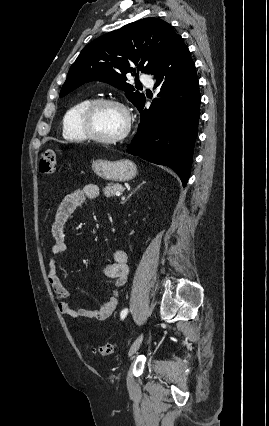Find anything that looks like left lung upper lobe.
<instances>
[{"label": "left lung upper lobe", "mask_w": 269, "mask_h": 426, "mask_svg": "<svg viewBox=\"0 0 269 426\" xmlns=\"http://www.w3.org/2000/svg\"><path fill=\"white\" fill-rule=\"evenodd\" d=\"M178 36L167 22L145 18L95 39L72 64L59 96L98 80L124 90L138 107L145 100L144 94L126 83V75L150 73Z\"/></svg>", "instance_id": "obj_1"}]
</instances>
